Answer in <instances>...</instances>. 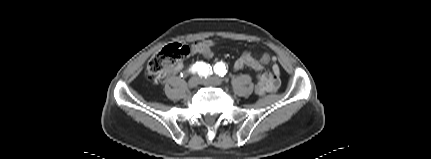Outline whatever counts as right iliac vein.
Listing matches in <instances>:
<instances>
[{"mask_svg": "<svg viewBox=\"0 0 431 159\" xmlns=\"http://www.w3.org/2000/svg\"><path fill=\"white\" fill-rule=\"evenodd\" d=\"M199 82H200V79L197 76H193L188 81V87L189 88H195V87H197V85L199 84Z\"/></svg>", "mask_w": 431, "mask_h": 159, "instance_id": "obj_1", "label": "right iliac vein"}]
</instances>
